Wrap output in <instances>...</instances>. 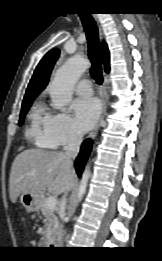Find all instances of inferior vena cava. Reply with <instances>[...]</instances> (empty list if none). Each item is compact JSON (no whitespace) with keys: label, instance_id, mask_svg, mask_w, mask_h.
<instances>
[{"label":"inferior vena cava","instance_id":"inferior-vena-cava-1","mask_svg":"<svg viewBox=\"0 0 162 261\" xmlns=\"http://www.w3.org/2000/svg\"><path fill=\"white\" fill-rule=\"evenodd\" d=\"M81 142H82V133L77 131L72 134L69 142L64 147L65 152L62 153V156L69 165H72L73 163L72 159H74L79 153ZM62 203L65 204V196L63 197Z\"/></svg>","mask_w":162,"mask_h":261}]
</instances>
